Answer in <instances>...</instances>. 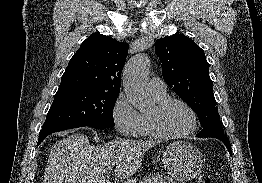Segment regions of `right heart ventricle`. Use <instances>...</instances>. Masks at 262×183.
<instances>
[{"instance_id":"right-heart-ventricle-1","label":"right heart ventricle","mask_w":262,"mask_h":183,"mask_svg":"<svg viewBox=\"0 0 262 183\" xmlns=\"http://www.w3.org/2000/svg\"><path fill=\"white\" fill-rule=\"evenodd\" d=\"M154 99L156 102L162 101L163 99L166 98V95L163 96H154ZM141 115V122H140V127L138 134L140 136H153L151 133L150 127H149V122H148V114H140Z\"/></svg>"}]
</instances>
